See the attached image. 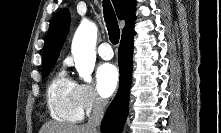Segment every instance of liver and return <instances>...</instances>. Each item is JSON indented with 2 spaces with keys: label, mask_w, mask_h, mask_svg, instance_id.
<instances>
[{
  "label": "liver",
  "mask_w": 221,
  "mask_h": 133,
  "mask_svg": "<svg viewBox=\"0 0 221 133\" xmlns=\"http://www.w3.org/2000/svg\"><path fill=\"white\" fill-rule=\"evenodd\" d=\"M40 133H91V132L90 129L86 127V125L47 122L42 126Z\"/></svg>",
  "instance_id": "obj_1"
}]
</instances>
